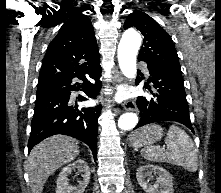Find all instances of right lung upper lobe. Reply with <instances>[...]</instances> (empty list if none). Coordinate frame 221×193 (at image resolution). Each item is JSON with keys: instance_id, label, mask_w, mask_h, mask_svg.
Wrapping results in <instances>:
<instances>
[{"instance_id": "cb5924a9", "label": "right lung upper lobe", "mask_w": 221, "mask_h": 193, "mask_svg": "<svg viewBox=\"0 0 221 193\" xmlns=\"http://www.w3.org/2000/svg\"><path fill=\"white\" fill-rule=\"evenodd\" d=\"M94 28L86 15L75 14L62 25L48 45L38 89L88 73L98 62Z\"/></svg>"}]
</instances>
